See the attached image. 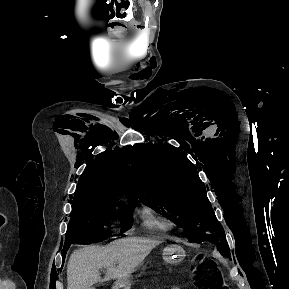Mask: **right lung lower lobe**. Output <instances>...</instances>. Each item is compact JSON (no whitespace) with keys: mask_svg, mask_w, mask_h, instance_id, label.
<instances>
[{"mask_svg":"<svg viewBox=\"0 0 289 289\" xmlns=\"http://www.w3.org/2000/svg\"><path fill=\"white\" fill-rule=\"evenodd\" d=\"M66 251H67V249H64V250H63V253H62L63 256H64V258H65V255H66Z\"/></svg>","mask_w":289,"mask_h":289,"instance_id":"1","label":"right lung lower lobe"}]
</instances>
